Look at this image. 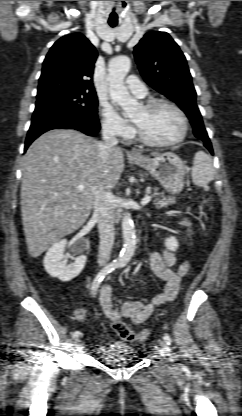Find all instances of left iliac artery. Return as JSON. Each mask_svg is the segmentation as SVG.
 <instances>
[{
  "mask_svg": "<svg viewBox=\"0 0 242 416\" xmlns=\"http://www.w3.org/2000/svg\"><path fill=\"white\" fill-rule=\"evenodd\" d=\"M163 339L168 345H171L172 340L168 335H164Z\"/></svg>",
  "mask_w": 242,
  "mask_h": 416,
  "instance_id": "left-iliac-artery-1",
  "label": "left iliac artery"
}]
</instances>
